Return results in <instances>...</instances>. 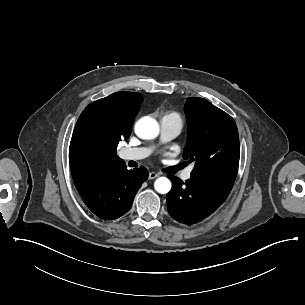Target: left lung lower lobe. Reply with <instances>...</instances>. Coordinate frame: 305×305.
Masks as SVG:
<instances>
[{"label":"left lung lower lobe","mask_w":305,"mask_h":305,"mask_svg":"<svg viewBox=\"0 0 305 305\" xmlns=\"http://www.w3.org/2000/svg\"><path fill=\"white\" fill-rule=\"evenodd\" d=\"M172 189L167 194V209L176 221L192 225L211 215L227 199L231 189L208 185L194 179L185 183L175 176H168Z\"/></svg>","instance_id":"1"}]
</instances>
